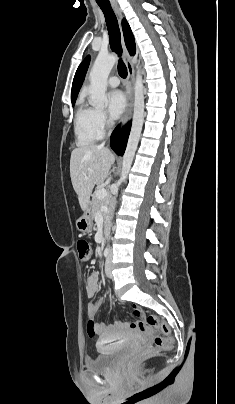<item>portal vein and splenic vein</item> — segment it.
Masks as SVG:
<instances>
[{"instance_id":"1","label":"portal vein and splenic vein","mask_w":235,"mask_h":404,"mask_svg":"<svg viewBox=\"0 0 235 404\" xmlns=\"http://www.w3.org/2000/svg\"><path fill=\"white\" fill-rule=\"evenodd\" d=\"M96 196L98 199H105L107 196V191L104 188L98 189L96 191Z\"/></svg>"}]
</instances>
